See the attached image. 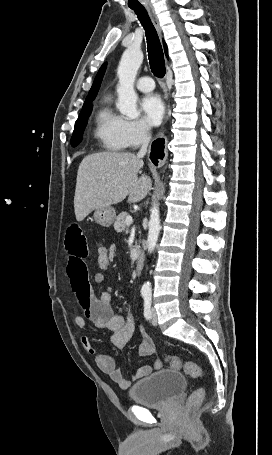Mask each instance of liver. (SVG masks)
I'll use <instances>...</instances> for the list:
<instances>
[{"instance_id":"1","label":"liver","mask_w":272,"mask_h":455,"mask_svg":"<svg viewBox=\"0 0 272 455\" xmlns=\"http://www.w3.org/2000/svg\"><path fill=\"white\" fill-rule=\"evenodd\" d=\"M144 162L133 153L101 152L86 156L79 165L74 196L77 221L93 210L144 199L152 188L149 176L138 172Z\"/></svg>"}]
</instances>
